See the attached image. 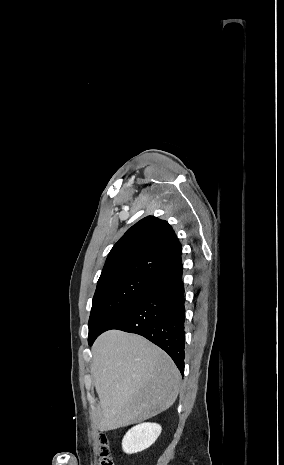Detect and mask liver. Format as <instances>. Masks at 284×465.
Returning <instances> with one entry per match:
<instances>
[{"instance_id": "liver-1", "label": "liver", "mask_w": 284, "mask_h": 465, "mask_svg": "<svg viewBox=\"0 0 284 465\" xmlns=\"http://www.w3.org/2000/svg\"><path fill=\"white\" fill-rule=\"evenodd\" d=\"M91 373L99 397V431L147 421L175 403L180 373L172 359L139 335L107 331L92 347Z\"/></svg>"}]
</instances>
